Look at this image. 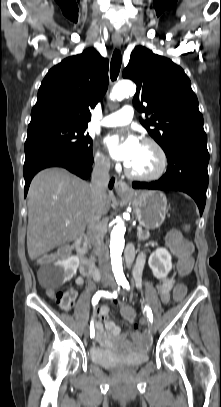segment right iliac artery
I'll use <instances>...</instances> for the list:
<instances>
[{
    "instance_id": "obj_1",
    "label": "right iliac artery",
    "mask_w": 221,
    "mask_h": 407,
    "mask_svg": "<svg viewBox=\"0 0 221 407\" xmlns=\"http://www.w3.org/2000/svg\"><path fill=\"white\" fill-rule=\"evenodd\" d=\"M118 284L120 285V283L118 282ZM119 287H118V290H116V291H114L113 293H109V292H105V291H99V292H97L94 296H93V298H92V304H93V306H96L97 305V303H98V301H99V299H100V297H117V295H118V291H119ZM94 336H95V329H94V322H93V320H91V323H90V337L91 338H94Z\"/></svg>"
}]
</instances>
